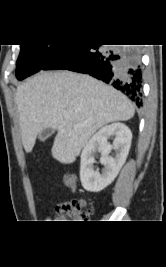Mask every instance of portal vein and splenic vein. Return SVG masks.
Masks as SVG:
<instances>
[{"instance_id": "1", "label": "portal vein and splenic vein", "mask_w": 166, "mask_h": 267, "mask_svg": "<svg viewBox=\"0 0 166 267\" xmlns=\"http://www.w3.org/2000/svg\"><path fill=\"white\" fill-rule=\"evenodd\" d=\"M65 116H69L68 114H65ZM77 126H79L78 124H77Z\"/></svg>"}]
</instances>
